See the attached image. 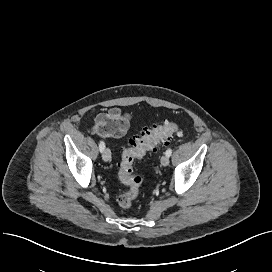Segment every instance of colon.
Returning <instances> with one entry per match:
<instances>
[{
  "instance_id": "1",
  "label": "colon",
  "mask_w": 272,
  "mask_h": 272,
  "mask_svg": "<svg viewBox=\"0 0 272 272\" xmlns=\"http://www.w3.org/2000/svg\"><path fill=\"white\" fill-rule=\"evenodd\" d=\"M127 125L126 114L118 109H111L96 117L94 128L101 136L119 137L125 133ZM179 130L180 127L176 122L167 121L134 137L122 150L118 175L120 181L127 186V191L118 196L117 202L121 208H130L140 192L142 178L133 173L136 160L154 151L159 144L168 143Z\"/></svg>"
}]
</instances>
